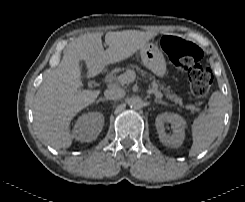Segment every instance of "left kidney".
Segmentation results:
<instances>
[{"mask_svg": "<svg viewBox=\"0 0 245 202\" xmlns=\"http://www.w3.org/2000/svg\"><path fill=\"white\" fill-rule=\"evenodd\" d=\"M169 123L173 129L171 135L166 134L164 124ZM156 129L160 141L171 148H178L185 138L186 121L183 117L175 113H163L156 117Z\"/></svg>", "mask_w": 245, "mask_h": 202, "instance_id": "obj_1", "label": "left kidney"}]
</instances>
